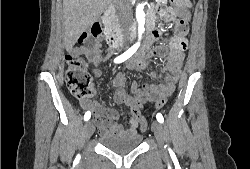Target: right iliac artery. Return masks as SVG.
<instances>
[{"label":"right iliac artery","instance_id":"82829eb1","mask_svg":"<svg viewBox=\"0 0 250 169\" xmlns=\"http://www.w3.org/2000/svg\"><path fill=\"white\" fill-rule=\"evenodd\" d=\"M136 50H137V48H135V47L130 48L128 51H126L122 55L115 58L114 62L121 63V62L127 60L129 57H131L135 53ZM90 117H91V113H90V111H87L84 115V120L88 121L90 119ZM79 159H80V155L78 154L75 160L79 161Z\"/></svg>","mask_w":250,"mask_h":169}]
</instances>
